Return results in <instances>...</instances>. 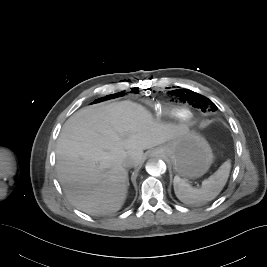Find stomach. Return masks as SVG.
<instances>
[{
	"label": "stomach",
	"instance_id": "0dacf381",
	"mask_svg": "<svg viewBox=\"0 0 267 267\" xmlns=\"http://www.w3.org/2000/svg\"><path fill=\"white\" fill-rule=\"evenodd\" d=\"M151 156L168 159L174 171L186 179L203 176L213 162L212 149L206 139L189 129L154 149Z\"/></svg>",
	"mask_w": 267,
	"mask_h": 267
}]
</instances>
